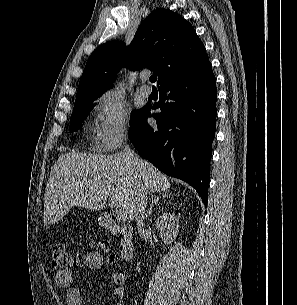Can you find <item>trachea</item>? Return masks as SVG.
Segmentation results:
<instances>
[{
    "label": "trachea",
    "instance_id": "3493384b",
    "mask_svg": "<svg viewBox=\"0 0 297 305\" xmlns=\"http://www.w3.org/2000/svg\"><path fill=\"white\" fill-rule=\"evenodd\" d=\"M149 79L152 83H154V82H156L157 77L155 75H152V76H150Z\"/></svg>",
    "mask_w": 297,
    "mask_h": 305
}]
</instances>
